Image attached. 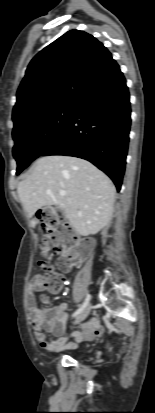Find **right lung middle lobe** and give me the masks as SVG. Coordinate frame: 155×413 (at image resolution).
Returning a JSON list of instances; mask_svg holds the SVG:
<instances>
[{
    "mask_svg": "<svg viewBox=\"0 0 155 413\" xmlns=\"http://www.w3.org/2000/svg\"><path fill=\"white\" fill-rule=\"evenodd\" d=\"M76 104H65L13 129V157L20 174L63 133Z\"/></svg>",
    "mask_w": 155,
    "mask_h": 413,
    "instance_id": "dd1d6c3e",
    "label": "right lung middle lobe"
}]
</instances>
